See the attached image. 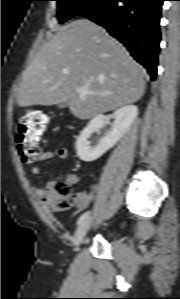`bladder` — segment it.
Here are the masks:
<instances>
[{"mask_svg":"<svg viewBox=\"0 0 180 299\" xmlns=\"http://www.w3.org/2000/svg\"><path fill=\"white\" fill-rule=\"evenodd\" d=\"M108 237H113V235H112V234H109Z\"/></svg>","mask_w":180,"mask_h":299,"instance_id":"bladder-1","label":"bladder"}]
</instances>
